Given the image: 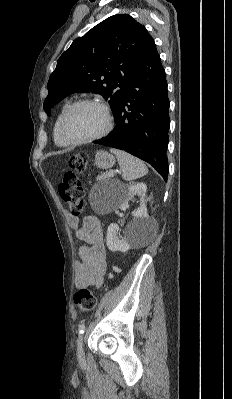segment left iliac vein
I'll list each match as a JSON object with an SVG mask.
<instances>
[{
	"label": "left iliac vein",
	"instance_id": "1",
	"mask_svg": "<svg viewBox=\"0 0 232 399\" xmlns=\"http://www.w3.org/2000/svg\"><path fill=\"white\" fill-rule=\"evenodd\" d=\"M83 344H84V338L83 337H78L77 338V344H76L77 356H84Z\"/></svg>",
	"mask_w": 232,
	"mask_h": 399
}]
</instances>
